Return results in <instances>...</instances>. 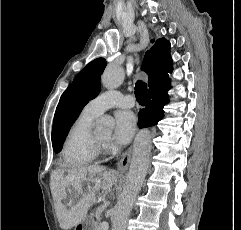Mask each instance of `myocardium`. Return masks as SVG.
<instances>
[{"label":"myocardium","mask_w":241,"mask_h":230,"mask_svg":"<svg viewBox=\"0 0 241 230\" xmlns=\"http://www.w3.org/2000/svg\"><path fill=\"white\" fill-rule=\"evenodd\" d=\"M89 145L94 153L97 155L102 154L107 148L106 142H102L95 136L94 133H91L89 138Z\"/></svg>","instance_id":"f54148a6"}]
</instances>
